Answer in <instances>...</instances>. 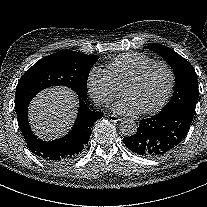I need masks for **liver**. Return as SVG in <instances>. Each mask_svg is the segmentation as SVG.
Instances as JSON below:
<instances>
[{
  "label": "liver",
  "mask_w": 207,
  "mask_h": 207,
  "mask_svg": "<svg viewBox=\"0 0 207 207\" xmlns=\"http://www.w3.org/2000/svg\"><path fill=\"white\" fill-rule=\"evenodd\" d=\"M77 106L75 94L69 89L61 87L47 89L30 105L31 126L41 138H58L72 126Z\"/></svg>",
  "instance_id": "obj_1"
}]
</instances>
